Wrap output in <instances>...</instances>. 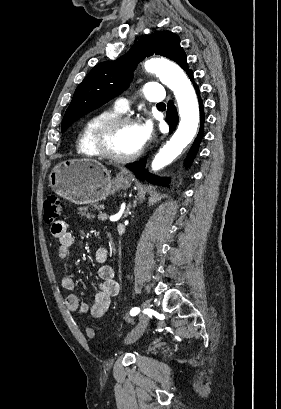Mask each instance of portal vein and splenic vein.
Returning a JSON list of instances; mask_svg holds the SVG:
<instances>
[{"instance_id": "obj_1", "label": "portal vein and splenic vein", "mask_w": 281, "mask_h": 409, "mask_svg": "<svg viewBox=\"0 0 281 409\" xmlns=\"http://www.w3.org/2000/svg\"><path fill=\"white\" fill-rule=\"evenodd\" d=\"M98 216H99V217H98V218H99V220H100V221H102V222H103V221H105V220L107 219V217H106L105 213H104V214H98Z\"/></svg>"}]
</instances>
